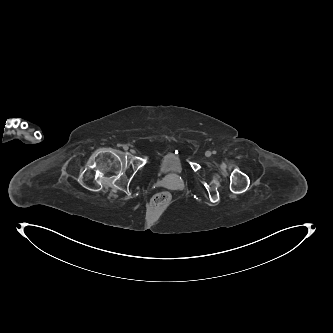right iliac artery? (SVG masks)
Returning <instances> with one entry per match:
<instances>
[{"instance_id":"right-iliac-artery-1","label":"right iliac artery","mask_w":333,"mask_h":333,"mask_svg":"<svg viewBox=\"0 0 333 333\" xmlns=\"http://www.w3.org/2000/svg\"><path fill=\"white\" fill-rule=\"evenodd\" d=\"M128 148H129V147H128L127 145H123V149H124V150H128Z\"/></svg>"}]
</instances>
